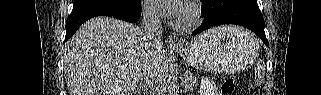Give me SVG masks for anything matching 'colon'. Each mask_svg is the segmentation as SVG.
I'll list each match as a JSON object with an SVG mask.
<instances>
[{
    "label": "colon",
    "mask_w": 321,
    "mask_h": 95,
    "mask_svg": "<svg viewBox=\"0 0 321 95\" xmlns=\"http://www.w3.org/2000/svg\"><path fill=\"white\" fill-rule=\"evenodd\" d=\"M236 88L235 81L231 78L226 79L221 84V94H233Z\"/></svg>",
    "instance_id": "colon-1"
}]
</instances>
